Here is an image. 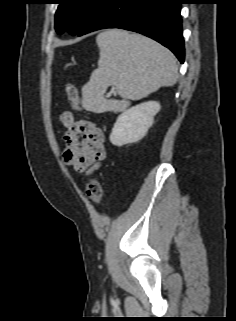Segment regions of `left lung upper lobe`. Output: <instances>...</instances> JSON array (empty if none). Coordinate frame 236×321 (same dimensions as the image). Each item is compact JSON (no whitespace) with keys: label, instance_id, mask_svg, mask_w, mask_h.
<instances>
[{"label":"left lung upper lobe","instance_id":"5c2ea615","mask_svg":"<svg viewBox=\"0 0 236 321\" xmlns=\"http://www.w3.org/2000/svg\"><path fill=\"white\" fill-rule=\"evenodd\" d=\"M55 14V29L61 34L65 30L78 34L105 0H58Z\"/></svg>","mask_w":236,"mask_h":321}]
</instances>
